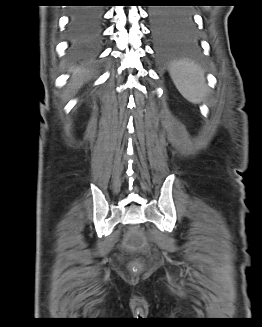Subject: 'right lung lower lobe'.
<instances>
[{
    "label": "right lung lower lobe",
    "instance_id": "obj_1",
    "mask_svg": "<svg viewBox=\"0 0 262 327\" xmlns=\"http://www.w3.org/2000/svg\"><path fill=\"white\" fill-rule=\"evenodd\" d=\"M103 11L97 7L76 8L70 19V37L79 44H96L102 35Z\"/></svg>",
    "mask_w": 262,
    "mask_h": 327
}]
</instances>
